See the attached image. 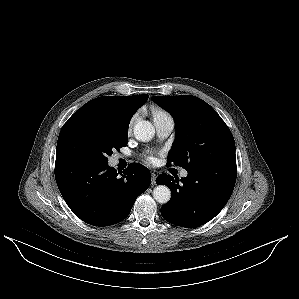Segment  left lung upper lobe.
I'll return each instance as SVG.
<instances>
[{
  "label": "left lung upper lobe",
  "mask_w": 299,
  "mask_h": 299,
  "mask_svg": "<svg viewBox=\"0 0 299 299\" xmlns=\"http://www.w3.org/2000/svg\"><path fill=\"white\" fill-rule=\"evenodd\" d=\"M152 100L168 111L176 124V138L168 155L186 170L208 161L236 159L233 135L205 101L193 96H153Z\"/></svg>",
  "instance_id": "5c2ea615"
}]
</instances>
